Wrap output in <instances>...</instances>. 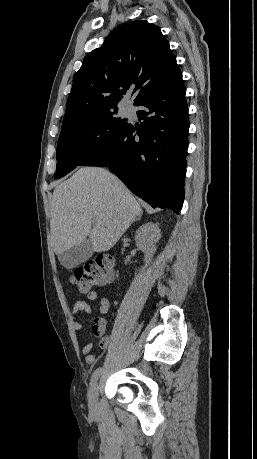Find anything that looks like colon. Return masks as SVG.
Instances as JSON below:
<instances>
[{
	"label": "colon",
	"mask_w": 257,
	"mask_h": 459,
	"mask_svg": "<svg viewBox=\"0 0 257 459\" xmlns=\"http://www.w3.org/2000/svg\"><path fill=\"white\" fill-rule=\"evenodd\" d=\"M112 268L113 260L109 256L92 259L75 268L70 280L81 292H87L93 286L109 282L112 278Z\"/></svg>",
	"instance_id": "1"
}]
</instances>
